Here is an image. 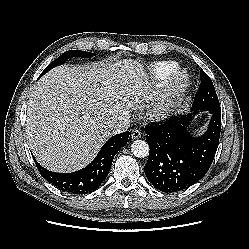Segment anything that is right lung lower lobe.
I'll return each mask as SVG.
<instances>
[{
    "label": "right lung lower lobe",
    "instance_id": "obj_1",
    "mask_svg": "<svg viewBox=\"0 0 249 249\" xmlns=\"http://www.w3.org/2000/svg\"><path fill=\"white\" fill-rule=\"evenodd\" d=\"M129 131L110 138L97 157L85 168L73 173H56L43 168L35 160L40 174L60 190L73 194H87L95 191L107 177L118 150L127 143Z\"/></svg>",
    "mask_w": 249,
    "mask_h": 249
}]
</instances>
